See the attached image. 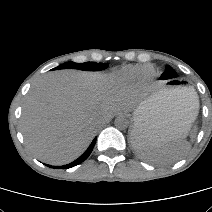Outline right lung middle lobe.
<instances>
[{
    "label": "right lung middle lobe",
    "mask_w": 212,
    "mask_h": 212,
    "mask_svg": "<svg viewBox=\"0 0 212 212\" xmlns=\"http://www.w3.org/2000/svg\"><path fill=\"white\" fill-rule=\"evenodd\" d=\"M108 64L106 63H95V62H85V63H75V62H66L62 65H59L58 67L54 68L56 69H80V70H86V71H100L106 69Z\"/></svg>",
    "instance_id": "dd1d6c3e"
}]
</instances>
